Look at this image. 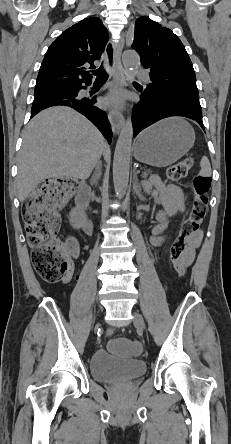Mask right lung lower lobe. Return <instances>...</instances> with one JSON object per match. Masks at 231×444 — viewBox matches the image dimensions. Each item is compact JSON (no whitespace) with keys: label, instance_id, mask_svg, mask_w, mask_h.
Here are the masks:
<instances>
[{"label":"right lung lower lobe","instance_id":"1","mask_svg":"<svg viewBox=\"0 0 231 444\" xmlns=\"http://www.w3.org/2000/svg\"><path fill=\"white\" fill-rule=\"evenodd\" d=\"M86 84L89 85L90 82H86ZM83 88L81 84H78L74 85L73 89L70 90L56 89L35 93L31 117L51 106H70L85 115L110 143L112 140V131L107 115L103 110L95 106L97 102L96 97L82 98L78 95L79 90Z\"/></svg>","mask_w":231,"mask_h":444}]
</instances>
